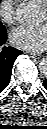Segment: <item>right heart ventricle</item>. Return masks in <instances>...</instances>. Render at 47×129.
<instances>
[{"label": "right heart ventricle", "mask_w": 47, "mask_h": 129, "mask_svg": "<svg viewBox=\"0 0 47 129\" xmlns=\"http://www.w3.org/2000/svg\"><path fill=\"white\" fill-rule=\"evenodd\" d=\"M38 1H40V2H45L46 0H38Z\"/></svg>", "instance_id": "obj_1"}]
</instances>
